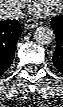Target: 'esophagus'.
Segmentation results:
<instances>
[{
  "instance_id": "1",
  "label": "esophagus",
  "mask_w": 63,
  "mask_h": 107,
  "mask_svg": "<svg viewBox=\"0 0 63 107\" xmlns=\"http://www.w3.org/2000/svg\"><path fill=\"white\" fill-rule=\"evenodd\" d=\"M38 26V22L35 19H28L25 23V28L31 29Z\"/></svg>"
}]
</instances>
